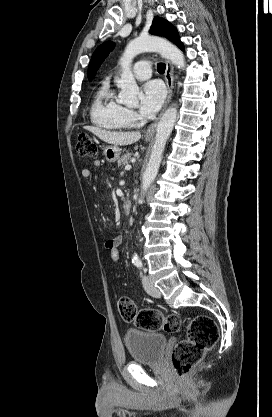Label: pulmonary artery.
Segmentation results:
<instances>
[{
    "label": "pulmonary artery",
    "instance_id": "e3ab8cb5",
    "mask_svg": "<svg viewBox=\"0 0 272 417\" xmlns=\"http://www.w3.org/2000/svg\"><path fill=\"white\" fill-rule=\"evenodd\" d=\"M133 74L138 80H145L151 76V64L147 60L137 62L133 67Z\"/></svg>",
    "mask_w": 272,
    "mask_h": 417
}]
</instances>
